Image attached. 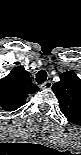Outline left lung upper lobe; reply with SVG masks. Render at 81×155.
I'll list each match as a JSON object with an SVG mask.
<instances>
[{"instance_id": "obj_1", "label": "left lung upper lobe", "mask_w": 81, "mask_h": 155, "mask_svg": "<svg viewBox=\"0 0 81 155\" xmlns=\"http://www.w3.org/2000/svg\"><path fill=\"white\" fill-rule=\"evenodd\" d=\"M52 90L59 100L61 112L73 124H81V79L73 71L60 75Z\"/></svg>"}]
</instances>
